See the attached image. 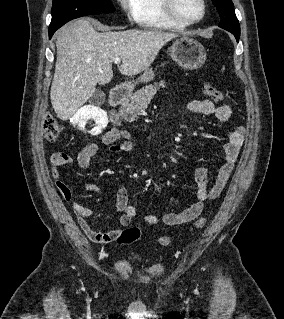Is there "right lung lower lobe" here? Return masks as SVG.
Wrapping results in <instances>:
<instances>
[{"mask_svg":"<svg viewBox=\"0 0 284 319\" xmlns=\"http://www.w3.org/2000/svg\"><path fill=\"white\" fill-rule=\"evenodd\" d=\"M57 29H54V30H49V38L52 37V35L54 34V32L56 31Z\"/></svg>","mask_w":284,"mask_h":319,"instance_id":"obj_1","label":"right lung lower lobe"}]
</instances>
